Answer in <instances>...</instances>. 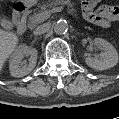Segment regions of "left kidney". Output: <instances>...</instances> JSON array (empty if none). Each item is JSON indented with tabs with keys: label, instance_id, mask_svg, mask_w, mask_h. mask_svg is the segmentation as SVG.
<instances>
[{
	"label": "left kidney",
	"instance_id": "obj_1",
	"mask_svg": "<svg viewBox=\"0 0 119 119\" xmlns=\"http://www.w3.org/2000/svg\"><path fill=\"white\" fill-rule=\"evenodd\" d=\"M94 44L101 47L103 52L100 54V59L85 54V63L89 67L96 70H105L114 67L118 63L119 56L112 44L102 38H95Z\"/></svg>",
	"mask_w": 119,
	"mask_h": 119
}]
</instances>
